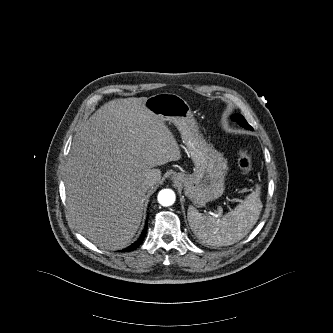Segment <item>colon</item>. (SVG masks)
Instances as JSON below:
<instances>
[{"instance_id": "obj_1", "label": "colon", "mask_w": 333, "mask_h": 333, "mask_svg": "<svg viewBox=\"0 0 333 333\" xmlns=\"http://www.w3.org/2000/svg\"><path fill=\"white\" fill-rule=\"evenodd\" d=\"M238 166L243 173H249L252 170V160L246 148L239 153Z\"/></svg>"}]
</instances>
